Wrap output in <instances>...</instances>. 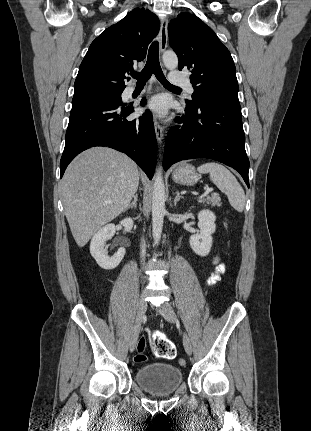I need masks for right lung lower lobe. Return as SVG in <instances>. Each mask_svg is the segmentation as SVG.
Segmentation results:
<instances>
[{
	"label": "right lung lower lobe",
	"instance_id": "right-lung-lower-lobe-1",
	"mask_svg": "<svg viewBox=\"0 0 311 431\" xmlns=\"http://www.w3.org/2000/svg\"><path fill=\"white\" fill-rule=\"evenodd\" d=\"M141 104H145V99ZM133 111L130 105L105 101L72 106L60 161V178L75 156L94 146H108L126 153L152 178L157 154L152 115L146 111L138 121L126 120Z\"/></svg>",
	"mask_w": 311,
	"mask_h": 431
}]
</instances>
